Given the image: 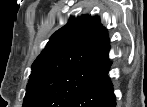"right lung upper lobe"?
<instances>
[{"label":"right lung upper lobe","instance_id":"right-lung-upper-lobe-1","mask_svg":"<svg viewBox=\"0 0 147 107\" xmlns=\"http://www.w3.org/2000/svg\"><path fill=\"white\" fill-rule=\"evenodd\" d=\"M110 40L98 18H71L56 31L32 65L30 77L80 68L101 70L109 62Z\"/></svg>","mask_w":147,"mask_h":107}]
</instances>
